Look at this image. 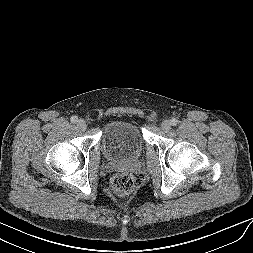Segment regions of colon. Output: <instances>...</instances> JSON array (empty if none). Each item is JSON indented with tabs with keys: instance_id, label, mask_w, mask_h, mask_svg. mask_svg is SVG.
Here are the masks:
<instances>
[{
	"instance_id": "5ec220e1",
	"label": "colon",
	"mask_w": 253,
	"mask_h": 253,
	"mask_svg": "<svg viewBox=\"0 0 253 253\" xmlns=\"http://www.w3.org/2000/svg\"><path fill=\"white\" fill-rule=\"evenodd\" d=\"M134 178L130 174H118L113 179V188L120 194L129 193L134 187Z\"/></svg>"
}]
</instances>
